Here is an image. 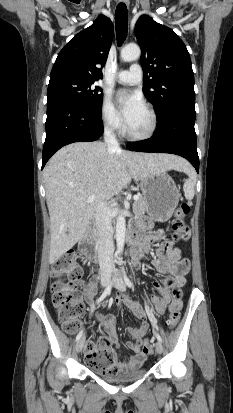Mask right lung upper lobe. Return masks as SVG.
Segmentation results:
<instances>
[{"mask_svg":"<svg viewBox=\"0 0 233 413\" xmlns=\"http://www.w3.org/2000/svg\"><path fill=\"white\" fill-rule=\"evenodd\" d=\"M112 36L111 20L100 15L63 47L53 65L50 81L67 77L92 81L102 78Z\"/></svg>","mask_w":233,"mask_h":413,"instance_id":"obj_1","label":"right lung upper lobe"}]
</instances>
